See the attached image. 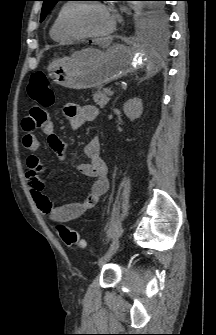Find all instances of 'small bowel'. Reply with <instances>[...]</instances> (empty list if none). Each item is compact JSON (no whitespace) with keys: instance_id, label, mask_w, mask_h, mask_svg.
Returning <instances> with one entry per match:
<instances>
[{"instance_id":"1","label":"small bowel","mask_w":216,"mask_h":335,"mask_svg":"<svg viewBox=\"0 0 216 335\" xmlns=\"http://www.w3.org/2000/svg\"><path fill=\"white\" fill-rule=\"evenodd\" d=\"M72 129L80 128L84 123L93 121L98 115V109L93 105L68 104L65 107ZM49 108H43L42 104H33L29 118L23 122L24 136L23 147L28 151L26 164L28 167L27 181L33 200L45 216L56 223H64L77 219L91 210L100 198L108 191L109 181L107 167L100 154L98 138H91L85 145L83 153L87 162L73 160L77 169L86 177L93 178L87 197L78 202H72L62 206H55L47 196L44 184L41 180L42 162L38 156L40 141L34 130H41L49 137V143L55 154L61 158H67L68 147L64 141L54 134ZM46 120V121H45Z\"/></svg>"}]
</instances>
